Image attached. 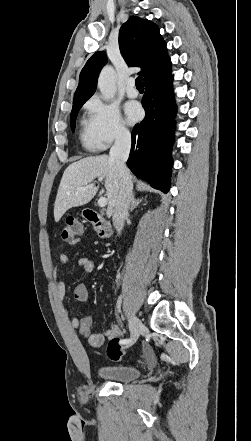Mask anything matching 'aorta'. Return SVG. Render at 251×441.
<instances>
[{"instance_id": "1", "label": "aorta", "mask_w": 251, "mask_h": 441, "mask_svg": "<svg viewBox=\"0 0 251 441\" xmlns=\"http://www.w3.org/2000/svg\"><path fill=\"white\" fill-rule=\"evenodd\" d=\"M98 88L104 100L112 99L117 91L115 83V70L111 66H105L98 78Z\"/></svg>"}]
</instances>
